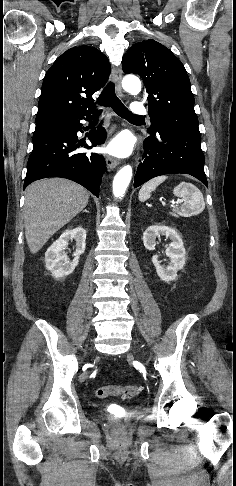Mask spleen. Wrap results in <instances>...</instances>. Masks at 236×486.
<instances>
[{
  "label": "spleen",
  "instance_id": "3e777b00",
  "mask_svg": "<svg viewBox=\"0 0 236 486\" xmlns=\"http://www.w3.org/2000/svg\"><path fill=\"white\" fill-rule=\"evenodd\" d=\"M167 179V176H158L145 183L139 191L141 202L150 198L151 193ZM173 194L180 197L184 204L174 207L173 211L183 217H189L201 213L205 209V202L201 191L193 184L182 182L173 189Z\"/></svg>",
  "mask_w": 236,
  "mask_h": 486
}]
</instances>
